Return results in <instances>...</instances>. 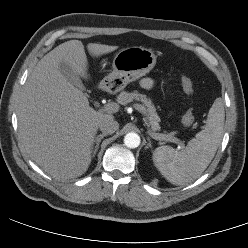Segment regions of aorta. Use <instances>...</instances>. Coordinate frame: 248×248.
<instances>
[{
    "label": "aorta",
    "instance_id": "1",
    "mask_svg": "<svg viewBox=\"0 0 248 248\" xmlns=\"http://www.w3.org/2000/svg\"><path fill=\"white\" fill-rule=\"evenodd\" d=\"M124 144L128 148H137L140 145V136L134 132L127 133L124 137Z\"/></svg>",
    "mask_w": 248,
    "mask_h": 248
}]
</instances>
